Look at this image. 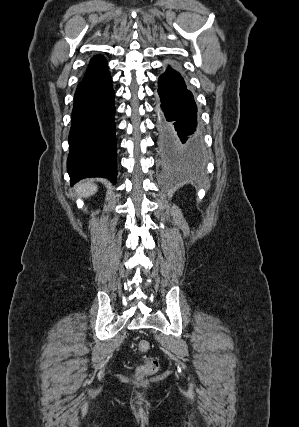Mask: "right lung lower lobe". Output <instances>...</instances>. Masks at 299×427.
I'll return each instance as SVG.
<instances>
[{
  "mask_svg": "<svg viewBox=\"0 0 299 427\" xmlns=\"http://www.w3.org/2000/svg\"><path fill=\"white\" fill-rule=\"evenodd\" d=\"M114 90L109 72L77 87L69 133L71 185L86 177L117 179Z\"/></svg>",
  "mask_w": 299,
  "mask_h": 427,
  "instance_id": "right-lung-lower-lobe-1",
  "label": "right lung lower lobe"
}]
</instances>
